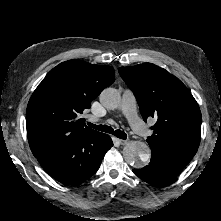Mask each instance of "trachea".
<instances>
[{"instance_id": "obj_1", "label": "trachea", "mask_w": 221, "mask_h": 221, "mask_svg": "<svg viewBox=\"0 0 221 221\" xmlns=\"http://www.w3.org/2000/svg\"><path fill=\"white\" fill-rule=\"evenodd\" d=\"M88 126L98 130V131H102V132H106L109 134H114L116 137L120 138V139H126L127 135L124 131L121 130H115L113 128H111L110 126L107 125H95L92 124L90 122H87Z\"/></svg>"}]
</instances>
